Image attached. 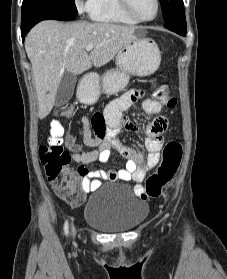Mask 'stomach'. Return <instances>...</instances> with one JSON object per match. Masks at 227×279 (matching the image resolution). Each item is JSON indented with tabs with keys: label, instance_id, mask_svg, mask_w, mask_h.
I'll return each instance as SVG.
<instances>
[{
	"label": "stomach",
	"instance_id": "obj_1",
	"mask_svg": "<svg viewBox=\"0 0 227 279\" xmlns=\"http://www.w3.org/2000/svg\"><path fill=\"white\" fill-rule=\"evenodd\" d=\"M145 29L137 28L135 38L125 44L116 55V68L107 71L96 82L84 81L79 85L77 97L84 104H94L102 93L114 95L129 83L130 76H148L161 62V52L155 41L145 37Z\"/></svg>",
	"mask_w": 227,
	"mask_h": 279
}]
</instances>
